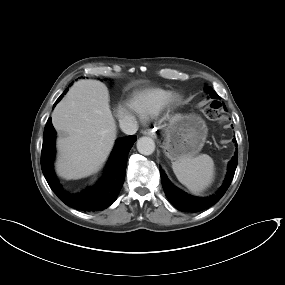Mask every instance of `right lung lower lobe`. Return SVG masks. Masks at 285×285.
I'll return each mask as SVG.
<instances>
[{
    "label": "right lung lower lobe",
    "instance_id": "right-lung-lower-lobe-1",
    "mask_svg": "<svg viewBox=\"0 0 285 285\" xmlns=\"http://www.w3.org/2000/svg\"><path fill=\"white\" fill-rule=\"evenodd\" d=\"M67 90L68 88L63 95ZM63 95L57 99L56 103L60 101ZM55 137L56 131L52 125L51 118H49L44 129L41 168L53 192L68 206L85 212L102 211L110 206L116 200L124 183L127 157L136 141V136L132 135L118 139L108 160L103 177L96 185L78 194H70L64 191L55 176L53 169Z\"/></svg>",
    "mask_w": 285,
    "mask_h": 285
}]
</instances>
